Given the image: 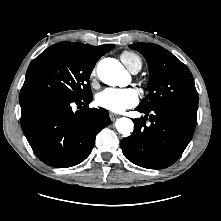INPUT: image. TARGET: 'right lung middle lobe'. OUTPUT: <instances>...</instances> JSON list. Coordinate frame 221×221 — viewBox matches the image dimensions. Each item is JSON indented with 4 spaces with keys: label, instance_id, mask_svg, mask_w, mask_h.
<instances>
[{
    "label": "right lung middle lobe",
    "instance_id": "right-lung-middle-lobe-1",
    "mask_svg": "<svg viewBox=\"0 0 221 221\" xmlns=\"http://www.w3.org/2000/svg\"><path fill=\"white\" fill-rule=\"evenodd\" d=\"M96 61L80 50L52 45L29 65L21 93L49 92L77 100L92 95L89 78Z\"/></svg>",
    "mask_w": 221,
    "mask_h": 221
}]
</instances>
